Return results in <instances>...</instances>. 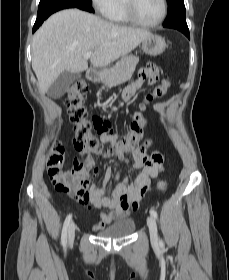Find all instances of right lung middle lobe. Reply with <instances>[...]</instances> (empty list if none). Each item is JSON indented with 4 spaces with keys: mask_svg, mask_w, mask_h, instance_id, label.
Segmentation results:
<instances>
[{
    "mask_svg": "<svg viewBox=\"0 0 229 280\" xmlns=\"http://www.w3.org/2000/svg\"><path fill=\"white\" fill-rule=\"evenodd\" d=\"M44 1H51V0H41L40 2H44ZM81 1H84V2H87V3L91 4V0H81Z\"/></svg>",
    "mask_w": 229,
    "mask_h": 280,
    "instance_id": "obj_1",
    "label": "right lung middle lobe"
}]
</instances>
